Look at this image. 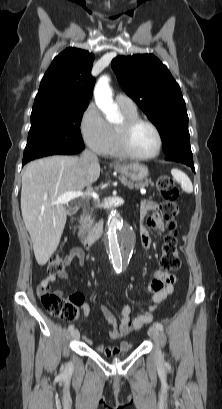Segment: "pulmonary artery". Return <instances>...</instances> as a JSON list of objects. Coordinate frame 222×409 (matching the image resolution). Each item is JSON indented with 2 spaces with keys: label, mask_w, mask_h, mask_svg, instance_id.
<instances>
[{
  "label": "pulmonary artery",
  "mask_w": 222,
  "mask_h": 409,
  "mask_svg": "<svg viewBox=\"0 0 222 409\" xmlns=\"http://www.w3.org/2000/svg\"><path fill=\"white\" fill-rule=\"evenodd\" d=\"M116 102L121 108L127 110H136L135 102L130 97L124 94H118L116 96Z\"/></svg>",
  "instance_id": "pulmonary-artery-1"
}]
</instances>
